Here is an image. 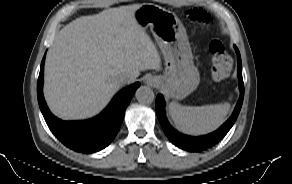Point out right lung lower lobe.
I'll list each match as a JSON object with an SVG mask.
<instances>
[{"mask_svg": "<svg viewBox=\"0 0 292 184\" xmlns=\"http://www.w3.org/2000/svg\"><path fill=\"white\" fill-rule=\"evenodd\" d=\"M44 59L45 57L41 63L37 93L40 109L51 131L64 145L78 152L91 153L108 146L119 131L125 109L139 83L120 91L99 116L87 121L65 122L51 114L43 98Z\"/></svg>", "mask_w": 292, "mask_h": 184, "instance_id": "1", "label": "right lung lower lobe"}]
</instances>
